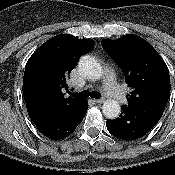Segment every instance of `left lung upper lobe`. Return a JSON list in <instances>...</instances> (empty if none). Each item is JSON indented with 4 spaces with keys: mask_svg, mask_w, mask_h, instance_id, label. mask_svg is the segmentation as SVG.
<instances>
[{
    "mask_svg": "<svg viewBox=\"0 0 175 175\" xmlns=\"http://www.w3.org/2000/svg\"><path fill=\"white\" fill-rule=\"evenodd\" d=\"M104 50L121 66L126 83L133 91L127 95L124 109L146 105L166 106L170 96L169 71L156 50L136 35L103 40Z\"/></svg>",
    "mask_w": 175,
    "mask_h": 175,
    "instance_id": "left-lung-upper-lobe-1",
    "label": "left lung upper lobe"
}]
</instances>
